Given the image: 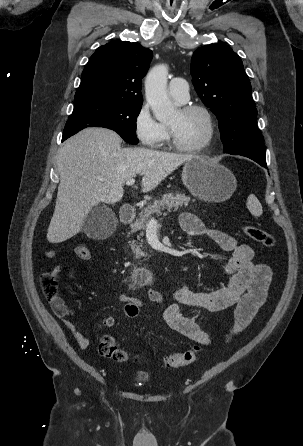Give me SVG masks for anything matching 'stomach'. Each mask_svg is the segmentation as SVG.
Instances as JSON below:
<instances>
[{"mask_svg": "<svg viewBox=\"0 0 303 446\" xmlns=\"http://www.w3.org/2000/svg\"><path fill=\"white\" fill-rule=\"evenodd\" d=\"M182 181L194 197L206 202L228 200L237 187L236 178L229 169L202 157L185 163Z\"/></svg>", "mask_w": 303, "mask_h": 446, "instance_id": "stomach-1", "label": "stomach"}]
</instances>
